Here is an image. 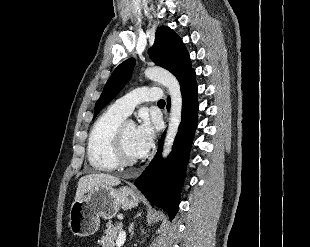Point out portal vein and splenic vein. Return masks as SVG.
<instances>
[{
    "mask_svg": "<svg viewBox=\"0 0 310 247\" xmlns=\"http://www.w3.org/2000/svg\"><path fill=\"white\" fill-rule=\"evenodd\" d=\"M125 240H126V233H125L124 231H122V232L119 234V236H118V238H117V240H116V246H117V247L123 246Z\"/></svg>",
    "mask_w": 310,
    "mask_h": 247,
    "instance_id": "portal-vein-and-splenic-vein-1",
    "label": "portal vein and splenic vein"
}]
</instances>
